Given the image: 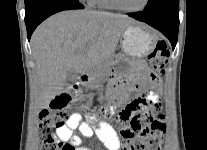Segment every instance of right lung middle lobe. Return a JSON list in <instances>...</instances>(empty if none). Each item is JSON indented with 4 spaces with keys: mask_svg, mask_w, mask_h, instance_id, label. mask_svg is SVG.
<instances>
[{
    "mask_svg": "<svg viewBox=\"0 0 207 150\" xmlns=\"http://www.w3.org/2000/svg\"><path fill=\"white\" fill-rule=\"evenodd\" d=\"M39 0H25V7L35 4Z\"/></svg>",
    "mask_w": 207,
    "mask_h": 150,
    "instance_id": "1",
    "label": "right lung middle lobe"
}]
</instances>
